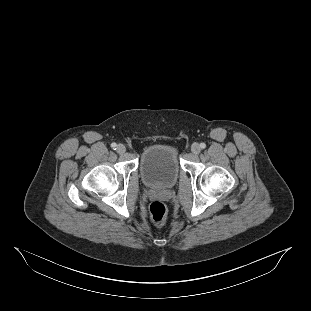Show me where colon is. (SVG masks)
I'll return each instance as SVG.
<instances>
[{"mask_svg":"<svg viewBox=\"0 0 311 311\" xmlns=\"http://www.w3.org/2000/svg\"><path fill=\"white\" fill-rule=\"evenodd\" d=\"M151 219L157 225H162L167 219V208L159 201L152 202L149 206Z\"/></svg>","mask_w":311,"mask_h":311,"instance_id":"5ec220e1","label":"colon"}]
</instances>
